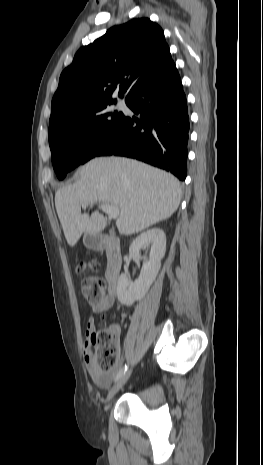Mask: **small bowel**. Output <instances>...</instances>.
<instances>
[{
    "label": "small bowel",
    "instance_id": "c3829d8e",
    "mask_svg": "<svg viewBox=\"0 0 263 465\" xmlns=\"http://www.w3.org/2000/svg\"><path fill=\"white\" fill-rule=\"evenodd\" d=\"M115 295L114 292L109 290V293L104 295L100 300L91 304L92 310L94 313H100L105 310L110 309L114 304ZM96 329V320L92 316L89 318L87 322V331L86 334L89 337L90 334ZM116 333L118 334V329H115ZM84 358L87 365V370L93 379V381L101 388H106L115 377L116 373L118 372V367L113 369L109 372H101L96 367V364L93 359L92 351L90 348V344L88 341L85 344L84 350ZM118 374V373H117Z\"/></svg>",
    "mask_w": 263,
    "mask_h": 465
}]
</instances>
